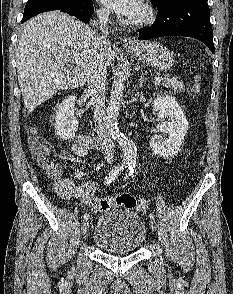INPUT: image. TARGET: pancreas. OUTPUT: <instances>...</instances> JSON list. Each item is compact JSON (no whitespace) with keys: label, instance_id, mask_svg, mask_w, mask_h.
<instances>
[{"label":"pancreas","instance_id":"obj_1","mask_svg":"<svg viewBox=\"0 0 233 294\" xmlns=\"http://www.w3.org/2000/svg\"><path fill=\"white\" fill-rule=\"evenodd\" d=\"M158 85H162L163 87L166 88H171L175 92L176 91H183L184 90V85L181 81L178 80V78H167L162 82H159Z\"/></svg>","mask_w":233,"mask_h":294}]
</instances>
